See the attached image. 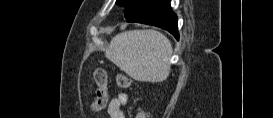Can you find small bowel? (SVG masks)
Masks as SVG:
<instances>
[{
	"label": "small bowel",
	"instance_id": "small-bowel-1",
	"mask_svg": "<svg viewBox=\"0 0 273 118\" xmlns=\"http://www.w3.org/2000/svg\"><path fill=\"white\" fill-rule=\"evenodd\" d=\"M127 102V96L120 94L118 97L111 100L108 105V113L111 118H124L123 106Z\"/></svg>",
	"mask_w": 273,
	"mask_h": 118
}]
</instances>
